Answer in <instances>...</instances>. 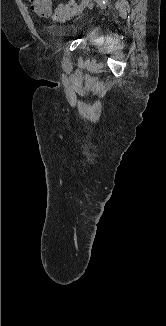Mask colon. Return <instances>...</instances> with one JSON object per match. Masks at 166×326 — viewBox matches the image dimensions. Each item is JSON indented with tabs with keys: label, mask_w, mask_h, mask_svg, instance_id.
<instances>
[{
	"label": "colon",
	"mask_w": 166,
	"mask_h": 326,
	"mask_svg": "<svg viewBox=\"0 0 166 326\" xmlns=\"http://www.w3.org/2000/svg\"><path fill=\"white\" fill-rule=\"evenodd\" d=\"M75 6L76 5L72 0L60 4L53 14V19L58 20L61 17L65 16L66 14L72 12L75 9Z\"/></svg>",
	"instance_id": "colon-1"
}]
</instances>
